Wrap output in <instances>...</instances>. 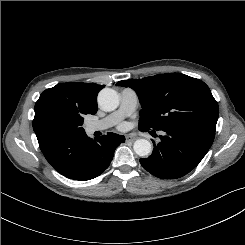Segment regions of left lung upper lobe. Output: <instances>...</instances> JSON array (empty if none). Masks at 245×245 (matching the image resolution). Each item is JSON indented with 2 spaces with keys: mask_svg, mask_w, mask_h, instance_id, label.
<instances>
[{
  "mask_svg": "<svg viewBox=\"0 0 245 245\" xmlns=\"http://www.w3.org/2000/svg\"><path fill=\"white\" fill-rule=\"evenodd\" d=\"M136 91L142 109L139 130H162L177 125H198L215 132L218 104L201 80L169 73L119 81Z\"/></svg>",
  "mask_w": 245,
  "mask_h": 245,
  "instance_id": "obj_1",
  "label": "left lung upper lobe"
}]
</instances>
